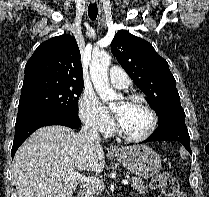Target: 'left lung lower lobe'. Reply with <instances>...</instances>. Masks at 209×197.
<instances>
[{
    "label": "left lung lower lobe",
    "mask_w": 209,
    "mask_h": 197,
    "mask_svg": "<svg viewBox=\"0 0 209 197\" xmlns=\"http://www.w3.org/2000/svg\"><path fill=\"white\" fill-rule=\"evenodd\" d=\"M178 141L192 154L190 137L185 124V115L173 116L159 123L154 133L143 142L151 141Z\"/></svg>",
    "instance_id": "obj_1"
}]
</instances>
